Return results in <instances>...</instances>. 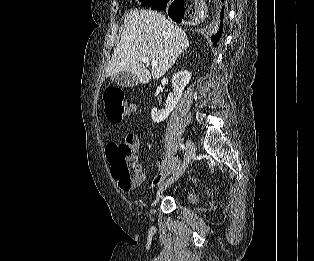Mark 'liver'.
I'll list each match as a JSON object with an SVG mask.
<instances>
[{"label": "liver", "mask_w": 314, "mask_h": 261, "mask_svg": "<svg viewBox=\"0 0 314 261\" xmlns=\"http://www.w3.org/2000/svg\"><path fill=\"white\" fill-rule=\"evenodd\" d=\"M189 47L186 33L156 11L134 9L126 13L121 40L106 68V76L130 72L138 82L157 80L173 66L179 55ZM155 60L150 72L142 58Z\"/></svg>", "instance_id": "6515ba94"}]
</instances>
